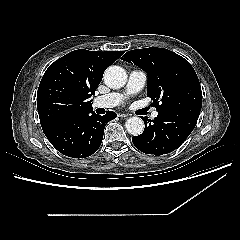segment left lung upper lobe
I'll use <instances>...</instances> for the list:
<instances>
[{
    "label": "left lung upper lobe",
    "instance_id": "5c2ea615",
    "mask_svg": "<svg viewBox=\"0 0 240 240\" xmlns=\"http://www.w3.org/2000/svg\"><path fill=\"white\" fill-rule=\"evenodd\" d=\"M122 60L134 63L147 73V96L152 98L158 112L202 106L198 77L180 55L150 47L128 51Z\"/></svg>",
    "mask_w": 240,
    "mask_h": 240
}]
</instances>
